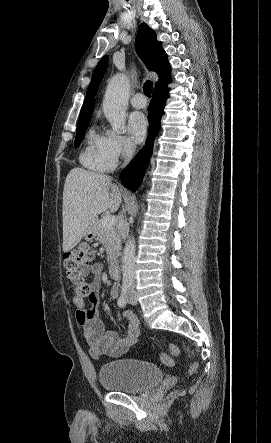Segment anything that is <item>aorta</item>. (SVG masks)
Instances as JSON below:
<instances>
[{"label": "aorta", "instance_id": "aorta-1", "mask_svg": "<svg viewBox=\"0 0 271 443\" xmlns=\"http://www.w3.org/2000/svg\"><path fill=\"white\" fill-rule=\"evenodd\" d=\"M130 94V82L124 74L112 76L103 98L104 116L114 132L124 130L126 110ZM134 237L125 243L122 255V273L124 281H134L135 277V245Z\"/></svg>", "mask_w": 271, "mask_h": 443}]
</instances>
